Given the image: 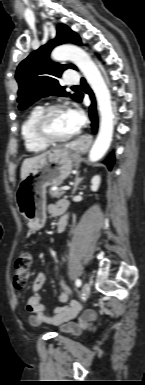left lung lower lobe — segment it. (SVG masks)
I'll use <instances>...</instances> for the list:
<instances>
[{"label":"left lung lower lobe","instance_id":"obj_1","mask_svg":"<svg viewBox=\"0 0 145 385\" xmlns=\"http://www.w3.org/2000/svg\"><path fill=\"white\" fill-rule=\"evenodd\" d=\"M82 86L85 90V92L87 94L90 95V98L92 100V104L90 106V109H89V117L91 118L92 120V130L94 133H96L97 131V127H98V119H97V113H96V108H95V99H94V95H93V92L91 91V89L87 86V84L85 83V80L82 79ZM83 98V96H82ZM82 98H81V101H82ZM80 101V102H81ZM104 164L107 165L108 169L111 170L113 164H114V153H111L105 160H104Z\"/></svg>","mask_w":145,"mask_h":385}]
</instances>
